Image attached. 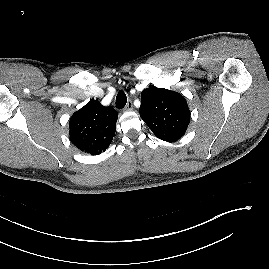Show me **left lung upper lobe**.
<instances>
[{"instance_id":"left-lung-upper-lobe-1","label":"left lung upper lobe","mask_w":269,"mask_h":269,"mask_svg":"<svg viewBox=\"0 0 269 269\" xmlns=\"http://www.w3.org/2000/svg\"><path fill=\"white\" fill-rule=\"evenodd\" d=\"M140 117L161 140L175 142L186 132L190 110L177 92L149 86L141 93Z\"/></svg>"}]
</instances>
